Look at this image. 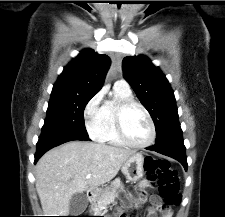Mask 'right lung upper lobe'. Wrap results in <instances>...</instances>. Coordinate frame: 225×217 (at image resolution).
<instances>
[{
	"mask_svg": "<svg viewBox=\"0 0 225 217\" xmlns=\"http://www.w3.org/2000/svg\"><path fill=\"white\" fill-rule=\"evenodd\" d=\"M110 58L84 49L59 76L51 94L94 96L102 88Z\"/></svg>",
	"mask_w": 225,
	"mask_h": 217,
	"instance_id": "cb5924a9",
	"label": "right lung upper lobe"
}]
</instances>
